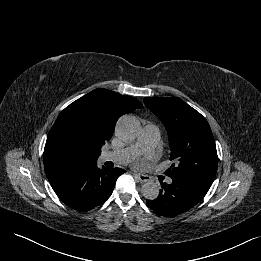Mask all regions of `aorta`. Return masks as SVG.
Wrapping results in <instances>:
<instances>
[{
  "label": "aorta",
  "instance_id": "aorta-1",
  "mask_svg": "<svg viewBox=\"0 0 261 261\" xmlns=\"http://www.w3.org/2000/svg\"><path fill=\"white\" fill-rule=\"evenodd\" d=\"M141 131V125L134 116H123L117 123L116 132L119 138L124 141H132L138 137ZM159 186L153 181L144 183L141 187V193L144 198L154 200L159 195Z\"/></svg>",
  "mask_w": 261,
  "mask_h": 261
}]
</instances>
